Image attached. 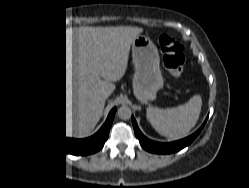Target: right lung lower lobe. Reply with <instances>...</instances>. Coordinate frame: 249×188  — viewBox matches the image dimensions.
Returning a JSON list of instances; mask_svg holds the SVG:
<instances>
[{"label": "right lung lower lobe", "mask_w": 249, "mask_h": 188, "mask_svg": "<svg viewBox=\"0 0 249 188\" xmlns=\"http://www.w3.org/2000/svg\"><path fill=\"white\" fill-rule=\"evenodd\" d=\"M59 37V36H58ZM116 108L114 107L101 129L92 137L86 139L66 138L59 135V62H58V133L45 132L50 142L63 153L72 155H88L99 151L108 138Z\"/></svg>", "instance_id": "right-lung-lower-lobe-1"}]
</instances>
